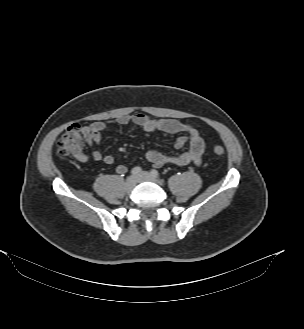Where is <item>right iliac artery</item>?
I'll list each match as a JSON object with an SVG mask.
<instances>
[{
  "mask_svg": "<svg viewBox=\"0 0 304 329\" xmlns=\"http://www.w3.org/2000/svg\"><path fill=\"white\" fill-rule=\"evenodd\" d=\"M141 171H142L141 167L137 166V167H134V168L131 170V174H132V175H137V174H139Z\"/></svg>",
  "mask_w": 304,
  "mask_h": 329,
  "instance_id": "82829eb1",
  "label": "right iliac artery"
}]
</instances>
